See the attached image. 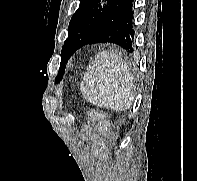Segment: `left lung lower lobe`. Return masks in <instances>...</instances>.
<instances>
[{
  "label": "left lung lower lobe",
  "mask_w": 197,
  "mask_h": 181,
  "mask_svg": "<svg viewBox=\"0 0 197 181\" xmlns=\"http://www.w3.org/2000/svg\"><path fill=\"white\" fill-rule=\"evenodd\" d=\"M132 2L133 0H113L86 44L113 43L132 52L134 38Z\"/></svg>",
  "instance_id": "left-lung-lower-lobe-1"
}]
</instances>
